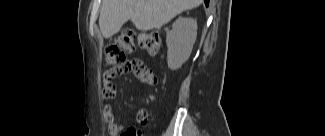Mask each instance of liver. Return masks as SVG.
Returning <instances> with one entry per match:
<instances>
[{
	"instance_id": "obj_1",
	"label": "liver",
	"mask_w": 325,
	"mask_h": 136,
	"mask_svg": "<svg viewBox=\"0 0 325 136\" xmlns=\"http://www.w3.org/2000/svg\"><path fill=\"white\" fill-rule=\"evenodd\" d=\"M202 0H103L99 26L104 38L132 21L140 31L160 29L176 15L198 7Z\"/></svg>"
}]
</instances>
